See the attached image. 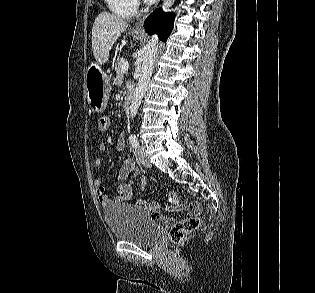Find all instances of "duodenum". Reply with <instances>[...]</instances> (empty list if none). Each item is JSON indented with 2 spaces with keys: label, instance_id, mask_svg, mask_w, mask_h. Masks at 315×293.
Returning a JSON list of instances; mask_svg holds the SVG:
<instances>
[{
  "label": "duodenum",
  "instance_id": "410a0bca",
  "mask_svg": "<svg viewBox=\"0 0 315 293\" xmlns=\"http://www.w3.org/2000/svg\"><path fill=\"white\" fill-rule=\"evenodd\" d=\"M132 99H133V94L132 92H129L125 99H124V103H123V109L125 112H127L131 106V103H132Z\"/></svg>",
  "mask_w": 315,
  "mask_h": 293
}]
</instances>
